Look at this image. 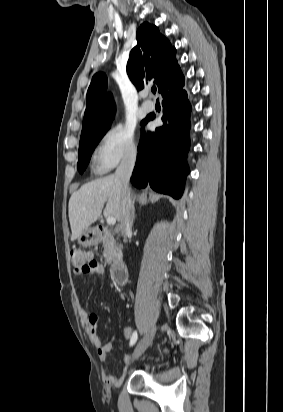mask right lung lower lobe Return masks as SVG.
I'll list each match as a JSON object with an SVG mask.
<instances>
[{"mask_svg": "<svg viewBox=\"0 0 283 412\" xmlns=\"http://www.w3.org/2000/svg\"><path fill=\"white\" fill-rule=\"evenodd\" d=\"M185 79L174 87L168 86L163 97V126L154 132L142 130L138 145L137 163L131 177L138 188L150 186L176 199L183 193L185 178L189 173L186 163L190 148L189 129L191 105L183 90ZM153 118L146 117L145 125Z\"/></svg>", "mask_w": 283, "mask_h": 412, "instance_id": "obj_1", "label": "right lung lower lobe"}]
</instances>
